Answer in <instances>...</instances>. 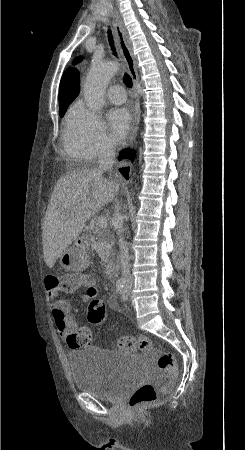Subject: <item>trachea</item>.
Segmentation results:
<instances>
[{
  "mask_svg": "<svg viewBox=\"0 0 245 450\" xmlns=\"http://www.w3.org/2000/svg\"><path fill=\"white\" fill-rule=\"evenodd\" d=\"M108 40H109V43H110V46H111L112 50L114 51V54L116 55L115 46H114V40H113V36H112V33H111L110 29L108 30ZM124 82H125L127 87H129V88L132 87V79L127 73L124 74Z\"/></svg>",
  "mask_w": 245,
  "mask_h": 450,
  "instance_id": "trachea-1",
  "label": "trachea"
}]
</instances>
